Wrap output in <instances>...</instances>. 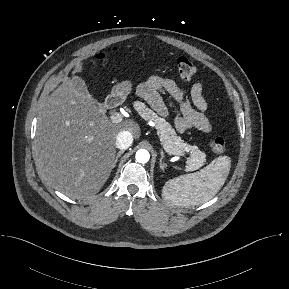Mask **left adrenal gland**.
Returning a JSON list of instances; mask_svg holds the SVG:
<instances>
[{"label": "left adrenal gland", "instance_id": "1", "mask_svg": "<svg viewBox=\"0 0 289 289\" xmlns=\"http://www.w3.org/2000/svg\"><path fill=\"white\" fill-rule=\"evenodd\" d=\"M163 159H164V152L163 151H161V158H160V168H161V170H165V166H164V164H163Z\"/></svg>", "mask_w": 289, "mask_h": 289}]
</instances>
